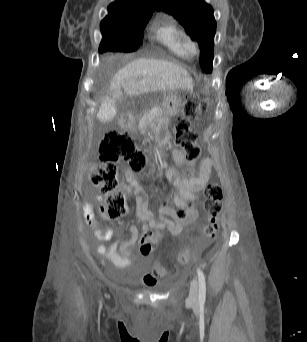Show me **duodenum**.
<instances>
[{"label":"duodenum","mask_w":307,"mask_h":342,"mask_svg":"<svg viewBox=\"0 0 307 342\" xmlns=\"http://www.w3.org/2000/svg\"><path fill=\"white\" fill-rule=\"evenodd\" d=\"M121 125L123 128H130L132 126V120L129 117H123L121 120Z\"/></svg>","instance_id":"obj_1"}]
</instances>
